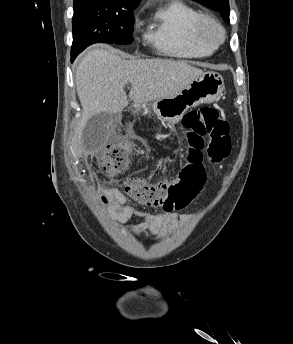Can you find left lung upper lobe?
I'll use <instances>...</instances> for the list:
<instances>
[{"mask_svg": "<svg viewBox=\"0 0 293 344\" xmlns=\"http://www.w3.org/2000/svg\"><path fill=\"white\" fill-rule=\"evenodd\" d=\"M198 3L203 4L204 6L220 12L223 19L226 22H229V1L228 0H194Z\"/></svg>", "mask_w": 293, "mask_h": 344, "instance_id": "obj_1", "label": "left lung upper lobe"}]
</instances>
